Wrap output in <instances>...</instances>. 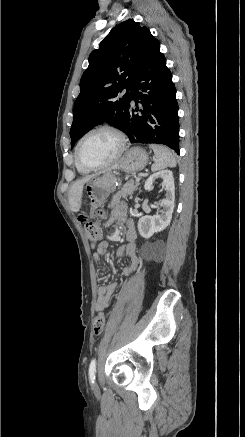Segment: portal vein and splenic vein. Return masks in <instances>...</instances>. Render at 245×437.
Returning a JSON list of instances; mask_svg holds the SVG:
<instances>
[{
	"mask_svg": "<svg viewBox=\"0 0 245 437\" xmlns=\"http://www.w3.org/2000/svg\"><path fill=\"white\" fill-rule=\"evenodd\" d=\"M140 180V177L138 176V177H136V181H139Z\"/></svg>",
	"mask_w": 245,
	"mask_h": 437,
	"instance_id": "obj_1",
	"label": "portal vein and splenic vein"
}]
</instances>
